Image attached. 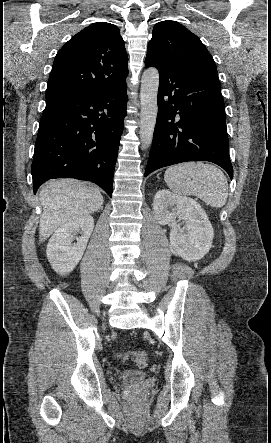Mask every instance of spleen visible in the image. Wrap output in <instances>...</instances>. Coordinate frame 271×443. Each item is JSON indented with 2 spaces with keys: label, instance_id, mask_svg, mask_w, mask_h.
<instances>
[{
  "label": "spleen",
  "instance_id": "3e777b00",
  "mask_svg": "<svg viewBox=\"0 0 271 443\" xmlns=\"http://www.w3.org/2000/svg\"><path fill=\"white\" fill-rule=\"evenodd\" d=\"M164 180L177 196H197L212 208H222L228 198V184L223 172L202 162H185L168 168Z\"/></svg>",
  "mask_w": 271,
  "mask_h": 443
}]
</instances>
